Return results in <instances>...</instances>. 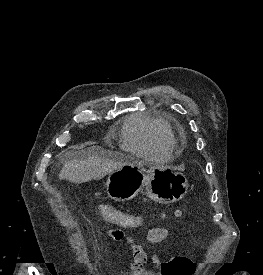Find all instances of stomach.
Segmentation results:
<instances>
[{
	"instance_id": "1",
	"label": "stomach",
	"mask_w": 263,
	"mask_h": 275,
	"mask_svg": "<svg viewBox=\"0 0 263 275\" xmlns=\"http://www.w3.org/2000/svg\"><path fill=\"white\" fill-rule=\"evenodd\" d=\"M143 161L130 160L110 173L106 190L110 198L124 202L135 198L139 192L153 201L169 204L179 201L188 190L186 177L169 167L149 166Z\"/></svg>"
}]
</instances>
